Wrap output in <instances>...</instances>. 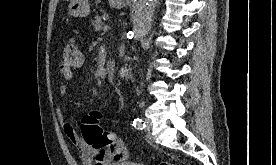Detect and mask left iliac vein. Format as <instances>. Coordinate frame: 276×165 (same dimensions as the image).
<instances>
[{
  "label": "left iliac vein",
  "instance_id": "left-iliac-vein-1",
  "mask_svg": "<svg viewBox=\"0 0 276 165\" xmlns=\"http://www.w3.org/2000/svg\"><path fill=\"white\" fill-rule=\"evenodd\" d=\"M146 124H145V130L146 131H151V128H152V122H151V120L150 119H146V122H145Z\"/></svg>",
  "mask_w": 276,
  "mask_h": 165
}]
</instances>
